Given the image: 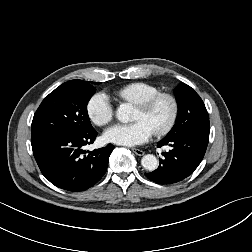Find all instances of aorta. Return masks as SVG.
<instances>
[{"mask_svg": "<svg viewBox=\"0 0 252 252\" xmlns=\"http://www.w3.org/2000/svg\"><path fill=\"white\" fill-rule=\"evenodd\" d=\"M116 116L119 121L127 123L134 119V108L129 103L121 104L117 111ZM142 166L148 171H154L158 167V160L153 154H147L141 159Z\"/></svg>", "mask_w": 252, "mask_h": 252, "instance_id": "obj_1", "label": "aorta"}]
</instances>
